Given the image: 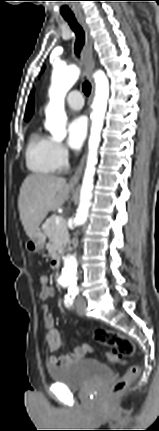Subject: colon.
Wrapping results in <instances>:
<instances>
[{"mask_svg":"<svg viewBox=\"0 0 159 431\" xmlns=\"http://www.w3.org/2000/svg\"><path fill=\"white\" fill-rule=\"evenodd\" d=\"M55 291L56 288L53 285H50L48 287L50 301H53V296H55L56 294ZM94 338L100 344L112 348L111 352H107V362L110 366H116V362H119L125 358H129L135 353V346L133 341L129 337L122 335L114 330L101 328L97 329L94 332ZM138 374V367L130 366L126 370L125 374L121 378H119L111 387L110 396L113 398L120 396L127 389L129 384L137 378Z\"/></svg>","mask_w":159,"mask_h":431,"instance_id":"obj_1","label":"colon"}]
</instances>
